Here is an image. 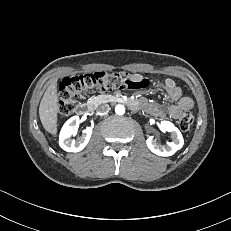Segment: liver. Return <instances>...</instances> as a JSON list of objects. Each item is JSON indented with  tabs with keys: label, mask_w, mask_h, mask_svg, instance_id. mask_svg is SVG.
I'll return each instance as SVG.
<instances>
[{
	"label": "liver",
	"mask_w": 231,
	"mask_h": 231,
	"mask_svg": "<svg viewBox=\"0 0 231 231\" xmlns=\"http://www.w3.org/2000/svg\"><path fill=\"white\" fill-rule=\"evenodd\" d=\"M58 94H57V80L46 89L39 106V116L44 129L52 134H57L58 121Z\"/></svg>",
	"instance_id": "liver-1"
}]
</instances>
